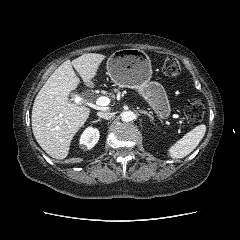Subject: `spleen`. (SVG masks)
<instances>
[{
    "label": "spleen",
    "mask_w": 240,
    "mask_h": 240,
    "mask_svg": "<svg viewBox=\"0 0 240 240\" xmlns=\"http://www.w3.org/2000/svg\"><path fill=\"white\" fill-rule=\"evenodd\" d=\"M206 132V125L201 124L186 133L168 149V156L173 159H181L189 155L200 143Z\"/></svg>",
    "instance_id": "3e777b00"
}]
</instances>
